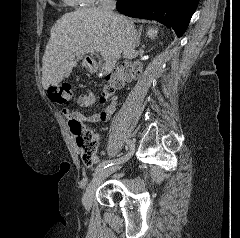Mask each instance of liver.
Listing matches in <instances>:
<instances>
[{
    "instance_id": "obj_1",
    "label": "liver",
    "mask_w": 240,
    "mask_h": 238,
    "mask_svg": "<svg viewBox=\"0 0 240 238\" xmlns=\"http://www.w3.org/2000/svg\"><path fill=\"white\" fill-rule=\"evenodd\" d=\"M124 22H133L120 16ZM134 27V26H133ZM124 27L102 15L96 8H82L64 14L51 29L42 59V86L58 85L68 77L86 46L114 65L121 57Z\"/></svg>"
}]
</instances>
